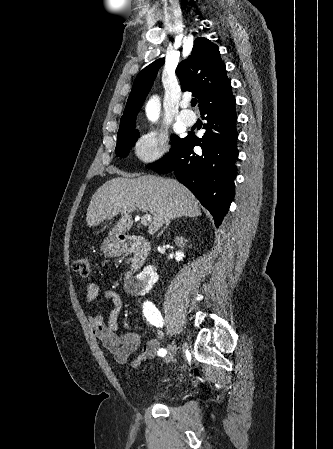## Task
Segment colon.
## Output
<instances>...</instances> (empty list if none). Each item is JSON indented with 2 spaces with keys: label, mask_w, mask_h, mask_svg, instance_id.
Listing matches in <instances>:
<instances>
[{
  "label": "colon",
  "mask_w": 333,
  "mask_h": 449,
  "mask_svg": "<svg viewBox=\"0 0 333 449\" xmlns=\"http://www.w3.org/2000/svg\"><path fill=\"white\" fill-rule=\"evenodd\" d=\"M90 265H91L90 258L87 256H83L75 260L73 268L80 275L86 276L89 274Z\"/></svg>",
  "instance_id": "1"
}]
</instances>
